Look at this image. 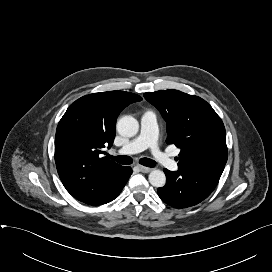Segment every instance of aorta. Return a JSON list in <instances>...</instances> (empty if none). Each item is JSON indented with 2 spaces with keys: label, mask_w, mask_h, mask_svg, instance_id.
<instances>
[{
  "label": "aorta",
  "mask_w": 272,
  "mask_h": 272,
  "mask_svg": "<svg viewBox=\"0 0 272 272\" xmlns=\"http://www.w3.org/2000/svg\"><path fill=\"white\" fill-rule=\"evenodd\" d=\"M138 129V121L130 115L121 117L117 122V131L122 136L132 137L137 134ZM148 179L154 187H163L166 183V176L161 170L151 171Z\"/></svg>",
  "instance_id": "1"
}]
</instances>
